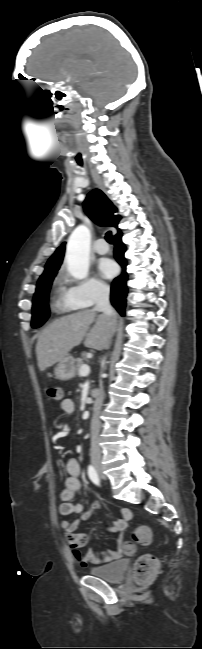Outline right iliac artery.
Listing matches in <instances>:
<instances>
[{
	"label": "right iliac artery",
	"mask_w": 202,
	"mask_h": 649,
	"mask_svg": "<svg viewBox=\"0 0 202 649\" xmlns=\"http://www.w3.org/2000/svg\"><path fill=\"white\" fill-rule=\"evenodd\" d=\"M88 476H89L90 480H91L94 484H96V485H100V479H99V476H98V474H97L95 468H94L92 465H89V467H88Z\"/></svg>",
	"instance_id": "82829eb1"
}]
</instances>
